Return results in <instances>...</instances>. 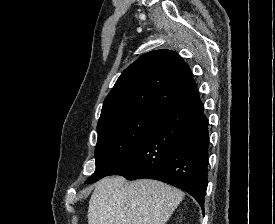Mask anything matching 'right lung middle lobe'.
I'll return each instance as SVG.
<instances>
[{
    "instance_id": "right-lung-middle-lobe-1",
    "label": "right lung middle lobe",
    "mask_w": 275,
    "mask_h": 224,
    "mask_svg": "<svg viewBox=\"0 0 275 224\" xmlns=\"http://www.w3.org/2000/svg\"><path fill=\"white\" fill-rule=\"evenodd\" d=\"M165 109L144 107L97 126L96 170L86 183L108 176L148 135Z\"/></svg>"
}]
</instances>
